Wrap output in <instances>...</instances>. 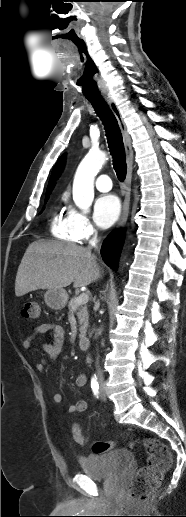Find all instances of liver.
<instances>
[{
	"mask_svg": "<svg viewBox=\"0 0 186 517\" xmlns=\"http://www.w3.org/2000/svg\"><path fill=\"white\" fill-rule=\"evenodd\" d=\"M96 257L89 248L58 241H35L27 248L18 267L15 295L37 289L87 286L100 278Z\"/></svg>",
	"mask_w": 186,
	"mask_h": 517,
	"instance_id": "obj_1",
	"label": "liver"
}]
</instances>
